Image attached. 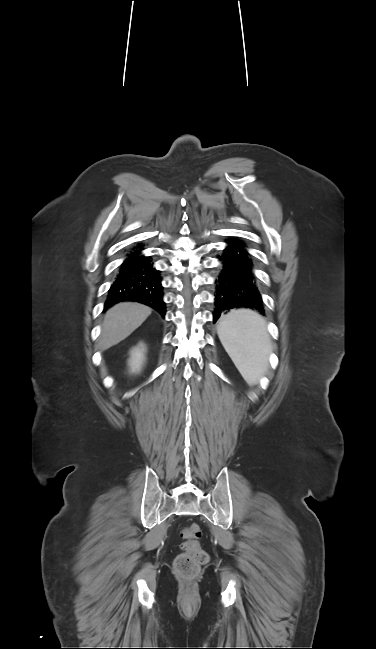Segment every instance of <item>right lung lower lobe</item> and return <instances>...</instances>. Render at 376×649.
Here are the masks:
<instances>
[{
    "instance_id": "98d812e1",
    "label": "right lung lower lobe",
    "mask_w": 376,
    "mask_h": 649,
    "mask_svg": "<svg viewBox=\"0 0 376 649\" xmlns=\"http://www.w3.org/2000/svg\"><path fill=\"white\" fill-rule=\"evenodd\" d=\"M140 249L131 251L120 267L111 285L105 302V309L121 301H137L157 310L163 317L166 312L162 300V286L159 271L150 259L141 255Z\"/></svg>"
}]
</instances>
